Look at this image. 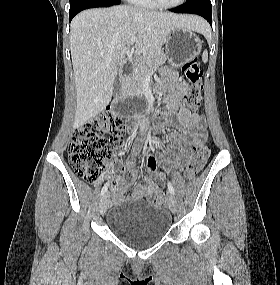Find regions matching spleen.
Returning <instances> with one entry per match:
<instances>
[{"label":"spleen","mask_w":280,"mask_h":285,"mask_svg":"<svg viewBox=\"0 0 280 285\" xmlns=\"http://www.w3.org/2000/svg\"><path fill=\"white\" fill-rule=\"evenodd\" d=\"M206 30V27L204 28V30H203V32ZM202 61L204 62V63H207V61H208V51L207 50H205L204 52H203V54H202Z\"/></svg>","instance_id":"obj_1"}]
</instances>
